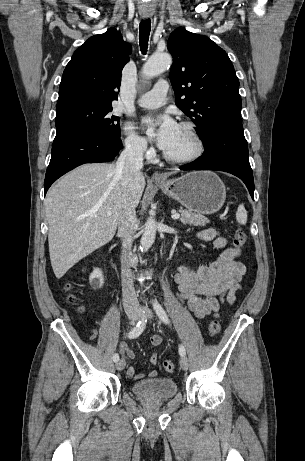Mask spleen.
<instances>
[{
  "mask_svg": "<svg viewBox=\"0 0 305 461\" xmlns=\"http://www.w3.org/2000/svg\"><path fill=\"white\" fill-rule=\"evenodd\" d=\"M236 220L239 224L245 225L247 223V211L243 204L238 206L236 211Z\"/></svg>",
  "mask_w": 305,
  "mask_h": 461,
  "instance_id": "1",
  "label": "spleen"
}]
</instances>
